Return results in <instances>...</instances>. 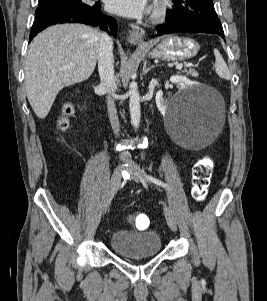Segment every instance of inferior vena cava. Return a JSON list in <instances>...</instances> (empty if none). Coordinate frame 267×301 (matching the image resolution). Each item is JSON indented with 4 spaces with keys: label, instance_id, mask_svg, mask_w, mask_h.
Returning a JSON list of instances; mask_svg holds the SVG:
<instances>
[{
    "label": "inferior vena cava",
    "instance_id": "inferior-vena-cava-1",
    "mask_svg": "<svg viewBox=\"0 0 267 301\" xmlns=\"http://www.w3.org/2000/svg\"><path fill=\"white\" fill-rule=\"evenodd\" d=\"M113 42L107 33H103L100 39L99 53H98V70L100 76V86L108 94L107 109L109 120L115 135H119V119L114 104V99L111 96L117 89L116 79L114 74V58H113ZM128 153L122 152L120 160L126 161Z\"/></svg>",
    "mask_w": 267,
    "mask_h": 301
}]
</instances>
